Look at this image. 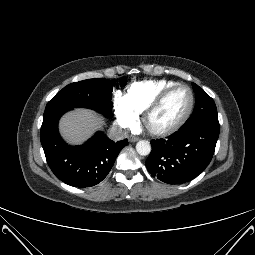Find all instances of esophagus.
Returning <instances> with one entry per match:
<instances>
[{"mask_svg":"<svg viewBox=\"0 0 255 255\" xmlns=\"http://www.w3.org/2000/svg\"><path fill=\"white\" fill-rule=\"evenodd\" d=\"M128 140H129V142H137V141L139 140V138H138V137H135V136H130V137L128 138Z\"/></svg>","mask_w":255,"mask_h":255,"instance_id":"esophagus-1","label":"esophagus"}]
</instances>
